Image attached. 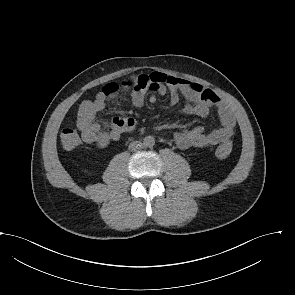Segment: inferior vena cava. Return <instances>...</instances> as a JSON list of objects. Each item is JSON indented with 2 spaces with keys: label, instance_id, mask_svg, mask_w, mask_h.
<instances>
[{
  "label": "inferior vena cava",
  "instance_id": "1",
  "mask_svg": "<svg viewBox=\"0 0 295 295\" xmlns=\"http://www.w3.org/2000/svg\"><path fill=\"white\" fill-rule=\"evenodd\" d=\"M143 148V144L140 141H133L129 145V150L138 151Z\"/></svg>",
  "mask_w": 295,
  "mask_h": 295
}]
</instances>
